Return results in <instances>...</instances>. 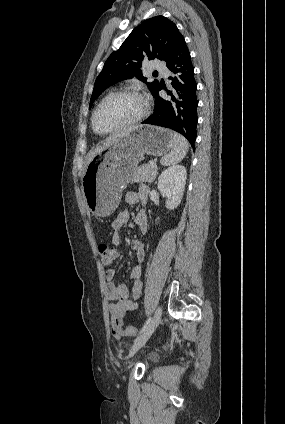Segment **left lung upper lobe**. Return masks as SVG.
Returning <instances> with one entry per match:
<instances>
[{
  "label": "left lung upper lobe",
  "instance_id": "1",
  "mask_svg": "<svg viewBox=\"0 0 285 424\" xmlns=\"http://www.w3.org/2000/svg\"><path fill=\"white\" fill-rule=\"evenodd\" d=\"M180 36L176 25L164 16L152 17L135 27L121 47L106 60L96 78L89 108L106 88L134 76L145 82L153 93L159 82H146L140 69L142 62L155 58L167 62Z\"/></svg>",
  "mask_w": 285,
  "mask_h": 424
}]
</instances>
